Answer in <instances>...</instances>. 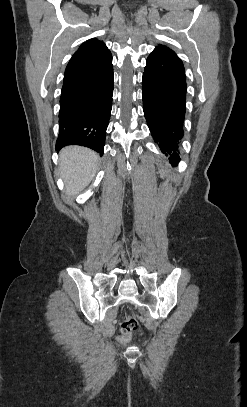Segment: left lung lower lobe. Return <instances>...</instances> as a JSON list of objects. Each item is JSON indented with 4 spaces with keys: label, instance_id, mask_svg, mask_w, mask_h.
Wrapping results in <instances>:
<instances>
[{
    "label": "left lung lower lobe",
    "instance_id": "obj_1",
    "mask_svg": "<svg viewBox=\"0 0 247 407\" xmlns=\"http://www.w3.org/2000/svg\"><path fill=\"white\" fill-rule=\"evenodd\" d=\"M142 97L144 115L155 142L171 163L178 162L186 77L183 63L175 53L155 48L149 55L143 73Z\"/></svg>",
    "mask_w": 247,
    "mask_h": 407
}]
</instances>
